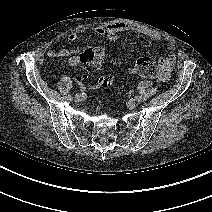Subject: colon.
Masks as SVG:
<instances>
[{
	"mask_svg": "<svg viewBox=\"0 0 212 212\" xmlns=\"http://www.w3.org/2000/svg\"><path fill=\"white\" fill-rule=\"evenodd\" d=\"M105 59V51L102 47L90 48L74 59V64L84 67L87 71L93 72L101 67ZM162 61L144 56L136 59L130 67L129 73L144 78H158L161 75ZM112 83L110 77L104 78L103 87H108Z\"/></svg>",
	"mask_w": 212,
	"mask_h": 212,
	"instance_id": "1",
	"label": "colon"
}]
</instances>
